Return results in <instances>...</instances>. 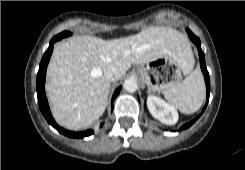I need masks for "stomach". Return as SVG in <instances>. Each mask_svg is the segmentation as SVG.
<instances>
[{
    "instance_id": "0dacf381",
    "label": "stomach",
    "mask_w": 245,
    "mask_h": 170,
    "mask_svg": "<svg viewBox=\"0 0 245 170\" xmlns=\"http://www.w3.org/2000/svg\"><path fill=\"white\" fill-rule=\"evenodd\" d=\"M137 72L149 92H166L180 81L183 70L174 57L162 56L140 64Z\"/></svg>"
}]
</instances>
